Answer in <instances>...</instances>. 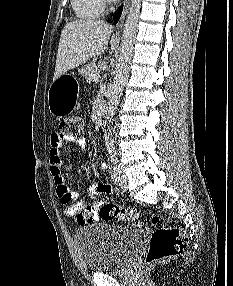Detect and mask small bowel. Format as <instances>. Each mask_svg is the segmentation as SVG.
<instances>
[{"label": "small bowel", "mask_w": 233, "mask_h": 286, "mask_svg": "<svg viewBox=\"0 0 233 286\" xmlns=\"http://www.w3.org/2000/svg\"><path fill=\"white\" fill-rule=\"evenodd\" d=\"M65 142L75 143L81 148H85L86 146V140L82 137L77 139L63 138L57 133L52 134L49 150V165L54 183L56 184L57 196L60 202L65 206V214L67 216H75L79 224L84 225L98 221L99 217L95 210L107 203V197L113 192V187L108 183H94L87 189V193L98 195L100 199L93 205H86L78 201L79 193L69 188L63 175L61 151Z\"/></svg>", "instance_id": "1"}]
</instances>
